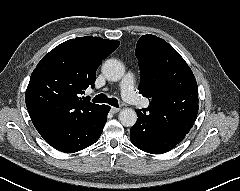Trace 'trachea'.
<instances>
[{"instance_id":"3493384b","label":"trachea","mask_w":240,"mask_h":191,"mask_svg":"<svg viewBox=\"0 0 240 191\" xmlns=\"http://www.w3.org/2000/svg\"><path fill=\"white\" fill-rule=\"evenodd\" d=\"M94 103H106L110 104L111 106L118 107V101L116 98H108L105 94H99L95 96L92 100Z\"/></svg>"}]
</instances>
